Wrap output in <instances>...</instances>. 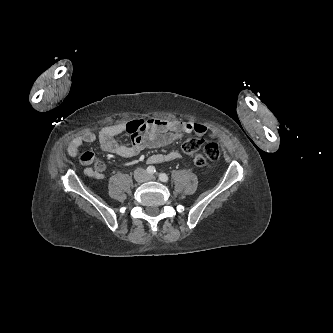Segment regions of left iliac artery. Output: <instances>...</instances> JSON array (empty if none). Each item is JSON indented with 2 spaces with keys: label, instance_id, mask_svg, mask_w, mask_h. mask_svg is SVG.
<instances>
[{
  "label": "left iliac artery",
  "instance_id": "44dca946",
  "mask_svg": "<svg viewBox=\"0 0 333 333\" xmlns=\"http://www.w3.org/2000/svg\"><path fill=\"white\" fill-rule=\"evenodd\" d=\"M159 179L162 182H167L169 178H168V176L165 173H160L159 174Z\"/></svg>",
  "mask_w": 333,
  "mask_h": 333
}]
</instances>
